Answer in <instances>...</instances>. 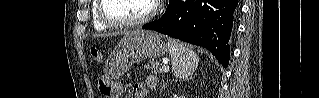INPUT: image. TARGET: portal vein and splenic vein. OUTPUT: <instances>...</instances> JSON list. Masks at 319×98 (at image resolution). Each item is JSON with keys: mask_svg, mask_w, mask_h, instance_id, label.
Segmentation results:
<instances>
[{"mask_svg": "<svg viewBox=\"0 0 319 98\" xmlns=\"http://www.w3.org/2000/svg\"><path fill=\"white\" fill-rule=\"evenodd\" d=\"M162 70H163L164 72H168V71H169V67H168V65H167L166 63H164V64L162 65Z\"/></svg>", "mask_w": 319, "mask_h": 98, "instance_id": "18ae733b", "label": "portal vein and splenic vein"}]
</instances>
